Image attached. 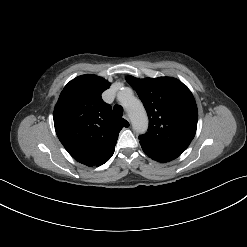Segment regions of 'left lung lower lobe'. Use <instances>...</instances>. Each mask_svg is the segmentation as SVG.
<instances>
[{"label": "left lung lower lobe", "instance_id": "left-lung-lower-lobe-1", "mask_svg": "<svg viewBox=\"0 0 247 247\" xmlns=\"http://www.w3.org/2000/svg\"><path fill=\"white\" fill-rule=\"evenodd\" d=\"M141 147L144 153L149 156L151 159L156 160L158 162H169L179 157L182 152L164 150L140 139Z\"/></svg>", "mask_w": 247, "mask_h": 247}]
</instances>
